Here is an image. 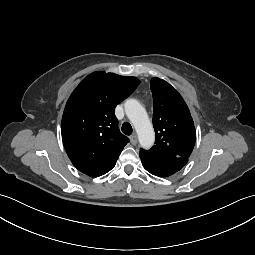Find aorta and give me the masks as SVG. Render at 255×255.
Here are the masks:
<instances>
[{
	"label": "aorta",
	"mask_w": 255,
	"mask_h": 255,
	"mask_svg": "<svg viewBox=\"0 0 255 255\" xmlns=\"http://www.w3.org/2000/svg\"><path fill=\"white\" fill-rule=\"evenodd\" d=\"M125 113L135 127L140 145L151 148L155 134L145 108L137 100L129 99L125 103Z\"/></svg>",
	"instance_id": "aorta-1"
}]
</instances>
